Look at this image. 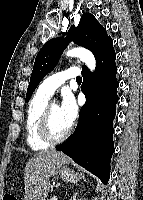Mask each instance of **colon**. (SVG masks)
Here are the masks:
<instances>
[{
  "label": "colon",
  "mask_w": 143,
  "mask_h": 200,
  "mask_svg": "<svg viewBox=\"0 0 143 200\" xmlns=\"http://www.w3.org/2000/svg\"><path fill=\"white\" fill-rule=\"evenodd\" d=\"M3 200H18V199L11 194H7V195L4 196Z\"/></svg>",
  "instance_id": "obj_1"
}]
</instances>
